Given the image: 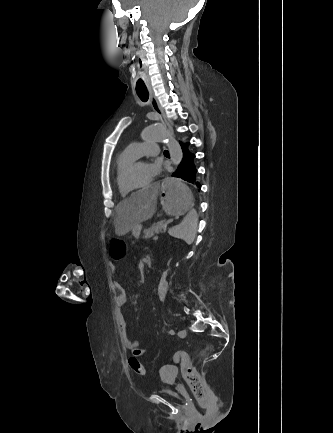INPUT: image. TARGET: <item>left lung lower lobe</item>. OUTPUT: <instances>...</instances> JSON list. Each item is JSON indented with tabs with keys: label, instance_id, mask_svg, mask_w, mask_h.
Listing matches in <instances>:
<instances>
[{
	"label": "left lung lower lobe",
	"instance_id": "left-lung-lower-lobe-1",
	"mask_svg": "<svg viewBox=\"0 0 333 433\" xmlns=\"http://www.w3.org/2000/svg\"><path fill=\"white\" fill-rule=\"evenodd\" d=\"M181 147L183 157L172 176L185 180L192 187L195 185L199 186L196 181L197 168L195 165V154L191 148L190 142L185 144L181 143Z\"/></svg>",
	"mask_w": 333,
	"mask_h": 433
}]
</instances>
